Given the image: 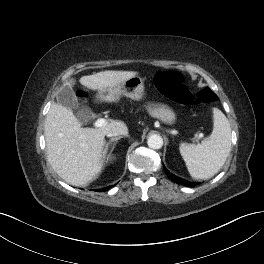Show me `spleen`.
Returning <instances> with one entry per match:
<instances>
[{"label":"spleen","instance_id":"obj_1","mask_svg":"<svg viewBox=\"0 0 264 264\" xmlns=\"http://www.w3.org/2000/svg\"><path fill=\"white\" fill-rule=\"evenodd\" d=\"M231 150V127L218 108H213V131L201 144L181 143L179 151L193 178L208 179L224 165Z\"/></svg>","mask_w":264,"mask_h":264}]
</instances>
